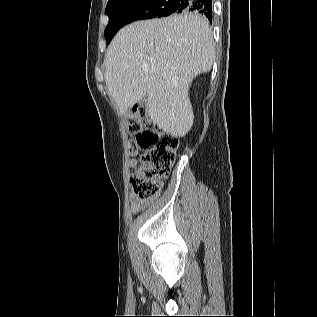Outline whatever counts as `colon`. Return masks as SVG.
<instances>
[{
  "mask_svg": "<svg viewBox=\"0 0 317 317\" xmlns=\"http://www.w3.org/2000/svg\"><path fill=\"white\" fill-rule=\"evenodd\" d=\"M127 128L134 136L130 146L132 167L136 170L130 179L133 195L140 201H149L158 194L162 180L169 174L179 141L148 122L139 106L128 117Z\"/></svg>",
  "mask_w": 317,
  "mask_h": 317,
  "instance_id": "obj_1",
  "label": "colon"
}]
</instances>
